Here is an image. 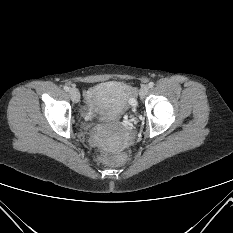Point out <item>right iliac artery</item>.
Listing matches in <instances>:
<instances>
[{
  "label": "right iliac artery",
  "mask_w": 233,
  "mask_h": 233,
  "mask_svg": "<svg viewBox=\"0 0 233 233\" xmlns=\"http://www.w3.org/2000/svg\"><path fill=\"white\" fill-rule=\"evenodd\" d=\"M63 89H64L65 91H69V87L66 86V85L63 87Z\"/></svg>",
  "instance_id": "82829eb1"
}]
</instances>
